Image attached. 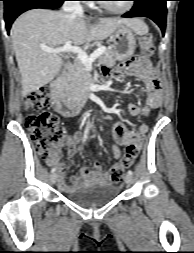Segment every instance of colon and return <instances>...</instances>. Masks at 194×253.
Listing matches in <instances>:
<instances>
[{
	"mask_svg": "<svg viewBox=\"0 0 194 253\" xmlns=\"http://www.w3.org/2000/svg\"><path fill=\"white\" fill-rule=\"evenodd\" d=\"M139 50L146 56L152 53V36L146 35L139 40ZM51 104L52 97L48 87L32 91L26 97V107L33 110V112L27 115L25 127L30 132L38 153L46 159H55L57 157L59 144L62 140V132L57 117L48 111ZM139 151L140 149L136 145H130L126 149L123 160L111 168V178L115 182L121 180L124 170L133 164Z\"/></svg>",
	"mask_w": 194,
	"mask_h": 253,
	"instance_id": "5ec220e1",
	"label": "colon"
}]
</instances>
